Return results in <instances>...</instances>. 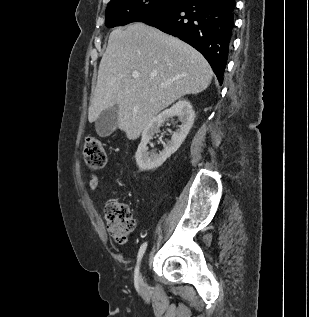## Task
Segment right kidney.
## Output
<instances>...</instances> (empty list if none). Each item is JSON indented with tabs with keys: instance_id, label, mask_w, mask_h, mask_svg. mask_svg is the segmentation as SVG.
<instances>
[{
	"instance_id": "ca27d5eb",
	"label": "right kidney",
	"mask_w": 309,
	"mask_h": 317,
	"mask_svg": "<svg viewBox=\"0 0 309 317\" xmlns=\"http://www.w3.org/2000/svg\"><path fill=\"white\" fill-rule=\"evenodd\" d=\"M177 116L181 125L167 142L164 149L156 153L147 152V144L154 134L159 133V128L170 118ZM195 112L192 105L186 100H180L171 108L164 110L146 125L142 132V139L135 154L136 162L140 170H153L161 166L181 146L193 126Z\"/></svg>"
}]
</instances>
